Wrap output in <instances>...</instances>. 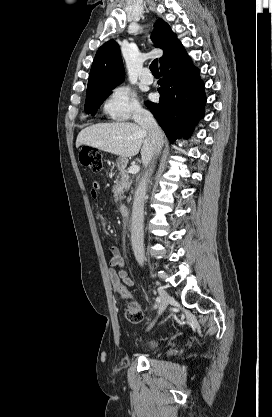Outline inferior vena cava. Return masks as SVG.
<instances>
[{
	"mask_svg": "<svg viewBox=\"0 0 272 417\" xmlns=\"http://www.w3.org/2000/svg\"><path fill=\"white\" fill-rule=\"evenodd\" d=\"M143 129L148 131L149 137L153 144V154L158 155L163 145V132L152 113L146 109L140 108L133 116ZM154 166L149 169L140 182L134 196L132 208V224H131V243L136 260L140 265L144 263L143 248V226H144V200L147 191V178L152 174Z\"/></svg>",
	"mask_w": 272,
	"mask_h": 417,
	"instance_id": "obj_1",
	"label": "inferior vena cava"
}]
</instances>
